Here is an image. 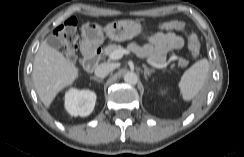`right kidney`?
<instances>
[{
  "label": "right kidney",
  "instance_id": "ca27d5eb",
  "mask_svg": "<svg viewBox=\"0 0 244 157\" xmlns=\"http://www.w3.org/2000/svg\"><path fill=\"white\" fill-rule=\"evenodd\" d=\"M96 94L90 90L71 88L65 94V109L72 116H88L92 113Z\"/></svg>",
  "mask_w": 244,
  "mask_h": 157
}]
</instances>
